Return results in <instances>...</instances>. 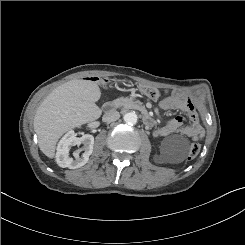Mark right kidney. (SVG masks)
<instances>
[{
  "label": "right kidney",
  "instance_id": "right-kidney-1",
  "mask_svg": "<svg viewBox=\"0 0 245 245\" xmlns=\"http://www.w3.org/2000/svg\"><path fill=\"white\" fill-rule=\"evenodd\" d=\"M83 144L84 153L81 157L77 152L73 155L75 159L69 157V151L72 146ZM94 137L92 135L86 134L82 137H76L74 131L67 132L64 137L60 140L57 147L56 162L60 167H68L69 169H77L84 166L88 160L89 156L93 152Z\"/></svg>",
  "mask_w": 245,
  "mask_h": 245
}]
</instances>
